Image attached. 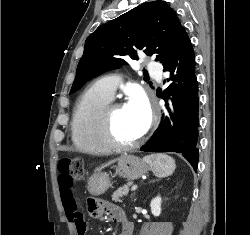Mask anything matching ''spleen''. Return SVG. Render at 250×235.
<instances>
[{
	"mask_svg": "<svg viewBox=\"0 0 250 235\" xmlns=\"http://www.w3.org/2000/svg\"><path fill=\"white\" fill-rule=\"evenodd\" d=\"M143 160L159 178L170 176L176 168L175 160L166 154L146 155Z\"/></svg>",
	"mask_w": 250,
	"mask_h": 235,
	"instance_id": "spleen-1",
	"label": "spleen"
}]
</instances>
